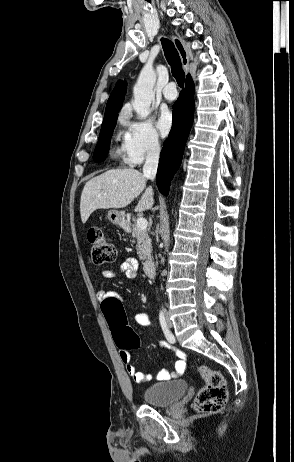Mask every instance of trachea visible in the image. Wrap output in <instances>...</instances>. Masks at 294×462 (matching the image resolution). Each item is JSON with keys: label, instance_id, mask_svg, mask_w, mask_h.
Here are the masks:
<instances>
[{"label": "trachea", "instance_id": "obj_1", "mask_svg": "<svg viewBox=\"0 0 294 462\" xmlns=\"http://www.w3.org/2000/svg\"><path fill=\"white\" fill-rule=\"evenodd\" d=\"M162 46L168 64L171 66L172 74L175 77L179 87L183 88L185 81V73L181 66V59L179 53L175 48L173 42L168 39H162Z\"/></svg>", "mask_w": 294, "mask_h": 462}]
</instances>
